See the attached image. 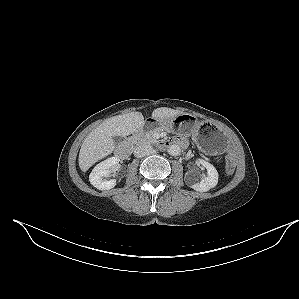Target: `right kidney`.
I'll list each match as a JSON object with an SVG mask.
<instances>
[{
    "instance_id": "ca27d5eb",
    "label": "right kidney",
    "mask_w": 299,
    "mask_h": 299,
    "mask_svg": "<svg viewBox=\"0 0 299 299\" xmlns=\"http://www.w3.org/2000/svg\"><path fill=\"white\" fill-rule=\"evenodd\" d=\"M118 157H110L97 164L89 175L90 183L99 190H109L116 185L115 179H108L110 169L119 164Z\"/></svg>"
}]
</instances>
